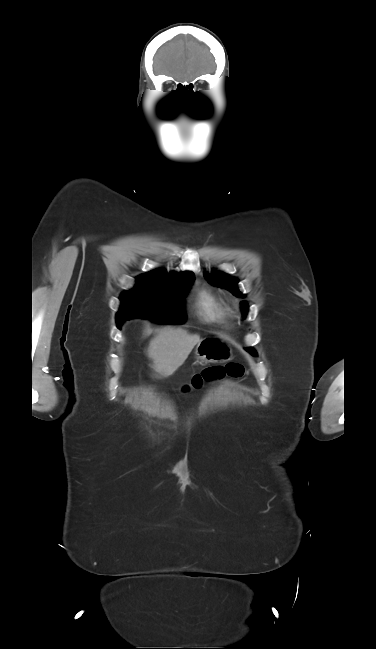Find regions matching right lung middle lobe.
<instances>
[{
  "label": "right lung middle lobe",
  "instance_id": "right-lung-middle-lobe-1",
  "mask_svg": "<svg viewBox=\"0 0 376 649\" xmlns=\"http://www.w3.org/2000/svg\"><path fill=\"white\" fill-rule=\"evenodd\" d=\"M194 280V274L167 277L139 276L137 285L121 295L118 327L125 320L146 318L164 324L185 321L184 296Z\"/></svg>",
  "mask_w": 376,
  "mask_h": 649
}]
</instances>
